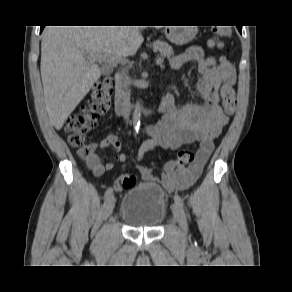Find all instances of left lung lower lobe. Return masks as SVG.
Returning a JSON list of instances; mask_svg holds the SVG:
<instances>
[{
	"instance_id": "0a47b994",
	"label": "left lung lower lobe",
	"mask_w": 292,
	"mask_h": 292,
	"mask_svg": "<svg viewBox=\"0 0 292 292\" xmlns=\"http://www.w3.org/2000/svg\"><path fill=\"white\" fill-rule=\"evenodd\" d=\"M237 28H238L239 32L242 33V27L239 26V27H237Z\"/></svg>"
}]
</instances>
